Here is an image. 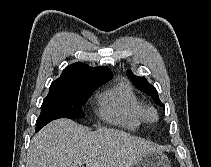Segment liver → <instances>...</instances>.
Segmentation results:
<instances>
[{"instance_id":"obj_1","label":"liver","mask_w":211,"mask_h":167,"mask_svg":"<svg viewBox=\"0 0 211 167\" xmlns=\"http://www.w3.org/2000/svg\"><path fill=\"white\" fill-rule=\"evenodd\" d=\"M158 150L152 142L124 131L91 132L68 119L49 123L31 141L26 167H131Z\"/></svg>"}]
</instances>
